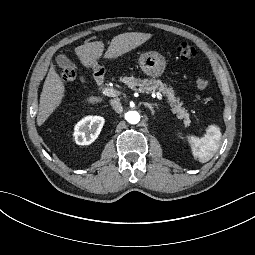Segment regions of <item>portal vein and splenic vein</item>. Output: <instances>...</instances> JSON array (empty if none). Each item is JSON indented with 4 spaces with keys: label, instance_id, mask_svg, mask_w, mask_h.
Masks as SVG:
<instances>
[{
    "label": "portal vein and splenic vein",
    "instance_id": "18ae733b",
    "mask_svg": "<svg viewBox=\"0 0 255 255\" xmlns=\"http://www.w3.org/2000/svg\"><path fill=\"white\" fill-rule=\"evenodd\" d=\"M103 94L109 97H116L117 96V91L114 90L113 88H105L103 90ZM153 97H157L159 100L162 99V94L160 92H156L152 94Z\"/></svg>",
    "mask_w": 255,
    "mask_h": 255
}]
</instances>
